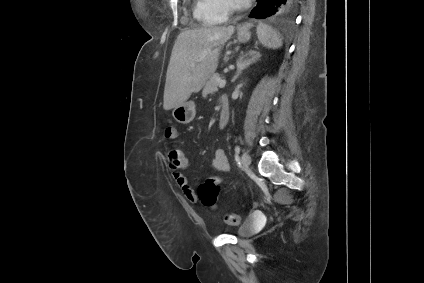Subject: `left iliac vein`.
<instances>
[{
	"mask_svg": "<svg viewBox=\"0 0 424 283\" xmlns=\"http://www.w3.org/2000/svg\"><path fill=\"white\" fill-rule=\"evenodd\" d=\"M241 162L243 167L248 168L251 164V157L247 152H244L241 156Z\"/></svg>",
	"mask_w": 424,
	"mask_h": 283,
	"instance_id": "obj_1",
	"label": "left iliac vein"
}]
</instances>
